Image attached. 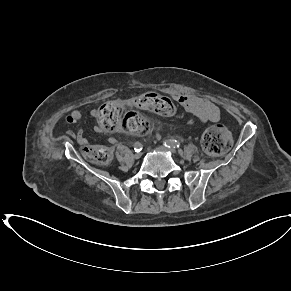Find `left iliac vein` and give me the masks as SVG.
<instances>
[{
    "label": "left iliac vein",
    "instance_id": "obj_1",
    "mask_svg": "<svg viewBox=\"0 0 291 291\" xmlns=\"http://www.w3.org/2000/svg\"><path fill=\"white\" fill-rule=\"evenodd\" d=\"M156 151H159V152H169L171 154H176V150L173 149V148H167V147H164V146H159L156 148Z\"/></svg>",
    "mask_w": 291,
    "mask_h": 291
}]
</instances>
